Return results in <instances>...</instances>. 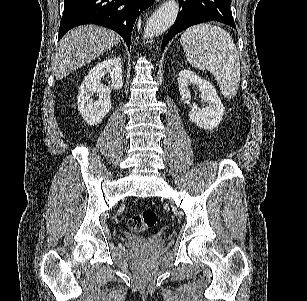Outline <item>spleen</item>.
Listing matches in <instances>:
<instances>
[{"mask_svg":"<svg viewBox=\"0 0 307 301\" xmlns=\"http://www.w3.org/2000/svg\"><path fill=\"white\" fill-rule=\"evenodd\" d=\"M180 42L191 66L210 70L225 98L236 96L240 82V60L229 32L215 24H195L181 34Z\"/></svg>","mask_w":307,"mask_h":301,"instance_id":"1","label":"spleen"}]
</instances>
